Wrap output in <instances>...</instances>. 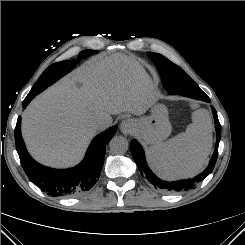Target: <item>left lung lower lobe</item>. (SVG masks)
Masks as SVG:
<instances>
[{
	"instance_id": "obj_1",
	"label": "left lung lower lobe",
	"mask_w": 245,
	"mask_h": 245,
	"mask_svg": "<svg viewBox=\"0 0 245 245\" xmlns=\"http://www.w3.org/2000/svg\"><path fill=\"white\" fill-rule=\"evenodd\" d=\"M189 83L184 84L183 87L180 88H173L171 91H168L170 94H179L183 96H187L190 98L202 100L205 102H211L210 98L199 88V86L191 88L188 87ZM212 108V113L214 116V121H215V129H216V148L214 150L213 156L209 162L208 167L205 169V171L192 180L186 181V180H180V181H175V182H165L159 179L148 167L146 160H145V153L143 148L140 146V144L136 141L133 140L131 141V152L132 156L139 168L140 173L142 176L147 177L148 181L152 183L155 188H160L163 191L167 192H180V191H187L189 189H192L195 187L196 184H198L200 181H202L206 176H208L217 160V155H218V146H219V141L221 137V125L219 123L218 117H217V112L214 109L213 106Z\"/></svg>"
}]
</instances>
